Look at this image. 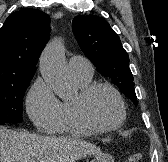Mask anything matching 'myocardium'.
Returning a JSON list of instances; mask_svg holds the SVG:
<instances>
[{
  "instance_id": "myocardium-1",
  "label": "myocardium",
  "mask_w": 168,
  "mask_h": 162,
  "mask_svg": "<svg viewBox=\"0 0 168 162\" xmlns=\"http://www.w3.org/2000/svg\"><path fill=\"white\" fill-rule=\"evenodd\" d=\"M98 89L110 91L120 108L119 119L111 125H99L88 114L87 101L89 97ZM73 108L77 119L81 124L90 129L92 132H112L123 126L127 118V109L121 93L111 84L104 82H93L81 88L78 96L73 101Z\"/></svg>"
}]
</instances>
